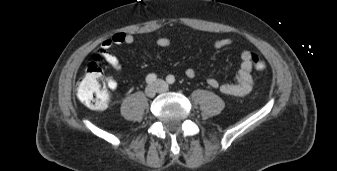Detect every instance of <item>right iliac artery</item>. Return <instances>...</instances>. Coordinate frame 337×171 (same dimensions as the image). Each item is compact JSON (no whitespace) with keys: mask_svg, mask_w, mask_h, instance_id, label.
I'll use <instances>...</instances> for the list:
<instances>
[{"mask_svg":"<svg viewBox=\"0 0 337 171\" xmlns=\"http://www.w3.org/2000/svg\"><path fill=\"white\" fill-rule=\"evenodd\" d=\"M156 78H157V76L154 73H151V74L147 75L146 82L148 84H152L156 81Z\"/></svg>","mask_w":337,"mask_h":171,"instance_id":"right-iliac-artery-1","label":"right iliac artery"}]
</instances>
